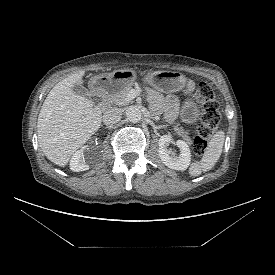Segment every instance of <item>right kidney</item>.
Here are the masks:
<instances>
[{"instance_id": "ca27d5eb", "label": "right kidney", "mask_w": 275, "mask_h": 275, "mask_svg": "<svg viewBox=\"0 0 275 275\" xmlns=\"http://www.w3.org/2000/svg\"><path fill=\"white\" fill-rule=\"evenodd\" d=\"M87 146L83 147L82 150L76 151L71 160H70V169L74 172H80V171H85L89 169V166L85 163L83 159V150Z\"/></svg>"}]
</instances>
